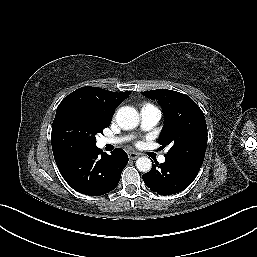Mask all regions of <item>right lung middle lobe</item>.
I'll return each mask as SVG.
<instances>
[{"label":"right lung middle lobe","mask_w":257,"mask_h":257,"mask_svg":"<svg viewBox=\"0 0 257 257\" xmlns=\"http://www.w3.org/2000/svg\"><path fill=\"white\" fill-rule=\"evenodd\" d=\"M70 124L67 140L70 144L81 145L89 149L96 147L97 133L110 125L111 121L104 120L82 108L76 107L69 111Z\"/></svg>","instance_id":"right-lung-middle-lobe-1"}]
</instances>
